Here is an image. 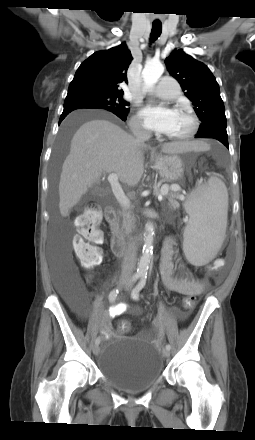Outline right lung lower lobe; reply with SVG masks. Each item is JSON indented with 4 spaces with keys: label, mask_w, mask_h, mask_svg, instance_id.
I'll use <instances>...</instances> for the list:
<instances>
[{
    "label": "right lung lower lobe",
    "mask_w": 255,
    "mask_h": 440,
    "mask_svg": "<svg viewBox=\"0 0 255 440\" xmlns=\"http://www.w3.org/2000/svg\"><path fill=\"white\" fill-rule=\"evenodd\" d=\"M80 108H82V107H65L64 108V110H63V113L61 114V116H60V120H59V123H61V121L71 112V111H73V110H76V109H80ZM115 115H117L119 118H121L123 121H125L126 120V116H122V115H120V114H118V113H114Z\"/></svg>",
    "instance_id": "1"
}]
</instances>
